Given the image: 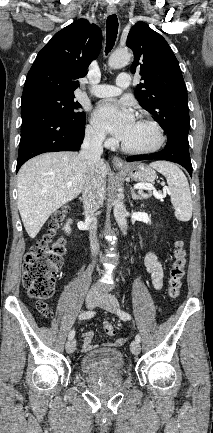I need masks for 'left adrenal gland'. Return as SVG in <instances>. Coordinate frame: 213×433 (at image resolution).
<instances>
[{
	"label": "left adrenal gland",
	"mask_w": 213,
	"mask_h": 433,
	"mask_svg": "<svg viewBox=\"0 0 213 433\" xmlns=\"http://www.w3.org/2000/svg\"><path fill=\"white\" fill-rule=\"evenodd\" d=\"M131 195L133 200H142V197L138 194H136L135 190L131 188Z\"/></svg>",
	"instance_id": "a2214340"
}]
</instances>
